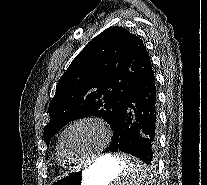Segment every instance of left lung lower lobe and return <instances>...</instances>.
Here are the masks:
<instances>
[{
    "label": "left lung lower lobe",
    "mask_w": 207,
    "mask_h": 185,
    "mask_svg": "<svg viewBox=\"0 0 207 185\" xmlns=\"http://www.w3.org/2000/svg\"><path fill=\"white\" fill-rule=\"evenodd\" d=\"M157 147L156 85L153 70L131 90L104 152H124L151 164Z\"/></svg>",
    "instance_id": "0a47b994"
}]
</instances>
